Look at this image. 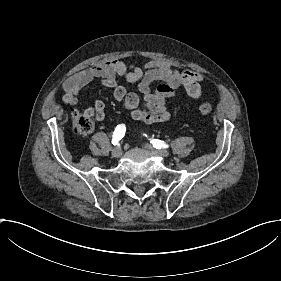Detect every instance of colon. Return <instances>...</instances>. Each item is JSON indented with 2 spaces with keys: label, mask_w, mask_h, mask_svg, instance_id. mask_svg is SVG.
Listing matches in <instances>:
<instances>
[{
  "label": "colon",
  "mask_w": 281,
  "mask_h": 281,
  "mask_svg": "<svg viewBox=\"0 0 281 281\" xmlns=\"http://www.w3.org/2000/svg\"><path fill=\"white\" fill-rule=\"evenodd\" d=\"M214 110V104L210 100H202L197 105V111L203 115H209ZM77 128L81 133H88L92 129V122L87 117H81L77 121Z\"/></svg>",
  "instance_id": "colon-1"
}]
</instances>
